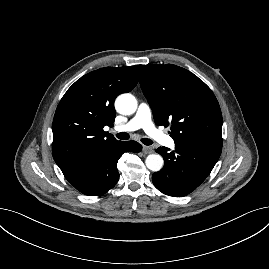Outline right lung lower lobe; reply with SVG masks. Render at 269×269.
<instances>
[{
  "instance_id": "98d812e1",
  "label": "right lung lower lobe",
  "mask_w": 269,
  "mask_h": 269,
  "mask_svg": "<svg viewBox=\"0 0 269 269\" xmlns=\"http://www.w3.org/2000/svg\"><path fill=\"white\" fill-rule=\"evenodd\" d=\"M141 150L142 145L136 141H120L63 174L83 194L102 195L113 188L119 179L117 162L121 155L124 152L138 153Z\"/></svg>"
}]
</instances>
